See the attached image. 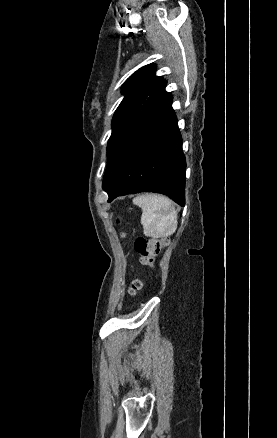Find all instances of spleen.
<instances>
[{"label":"spleen","mask_w":277,"mask_h":438,"mask_svg":"<svg viewBox=\"0 0 277 438\" xmlns=\"http://www.w3.org/2000/svg\"><path fill=\"white\" fill-rule=\"evenodd\" d=\"M133 204L142 210L141 224L148 238H166L174 234L177 228L175 208L165 196L145 194L134 198Z\"/></svg>","instance_id":"1"}]
</instances>
